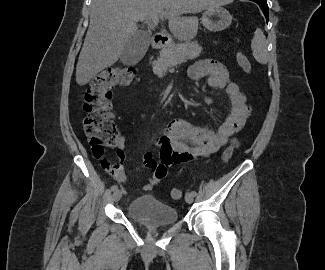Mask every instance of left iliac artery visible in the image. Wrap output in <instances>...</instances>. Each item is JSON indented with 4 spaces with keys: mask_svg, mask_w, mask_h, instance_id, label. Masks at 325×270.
Masks as SVG:
<instances>
[{
    "mask_svg": "<svg viewBox=\"0 0 325 270\" xmlns=\"http://www.w3.org/2000/svg\"><path fill=\"white\" fill-rule=\"evenodd\" d=\"M191 194L195 197L197 195L196 191H191Z\"/></svg>",
    "mask_w": 325,
    "mask_h": 270,
    "instance_id": "obj_1",
    "label": "left iliac artery"
}]
</instances>
